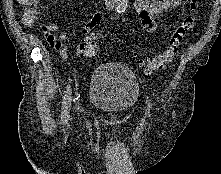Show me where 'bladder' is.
<instances>
[{"mask_svg": "<svg viewBox=\"0 0 221 174\" xmlns=\"http://www.w3.org/2000/svg\"><path fill=\"white\" fill-rule=\"evenodd\" d=\"M139 96V81L127 66L105 63L93 71L88 98L94 106L106 112H126L137 104Z\"/></svg>", "mask_w": 221, "mask_h": 174, "instance_id": "1", "label": "bladder"}]
</instances>
